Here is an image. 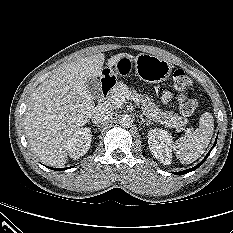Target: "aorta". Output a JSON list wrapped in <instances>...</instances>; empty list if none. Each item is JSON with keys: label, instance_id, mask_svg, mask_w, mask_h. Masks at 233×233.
I'll use <instances>...</instances> for the list:
<instances>
[{"label": "aorta", "instance_id": "obj_1", "mask_svg": "<svg viewBox=\"0 0 233 233\" xmlns=\"http://www.w3.org/2000/svg\"><path fill=\"white\" fill-rule=\"evenodd\" d=\"M118 122L122 127H130L133 123V118L128 114L120 115Z\"/></svg>", "mask_w": 233, "mask_h": 233}]
</instances>
